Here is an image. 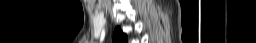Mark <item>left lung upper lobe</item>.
Returning a JSON list of instances; mask_svg holds the SVG:
<instances>
[{
    "label": "left lung upper lobe",
    "mask_w": 256,
    "mask_h": 43,
    "mask_svg": "<svg viewBox=\"0 0 256 43\" xmlns=\"http://www.w3.org/2000/svg\"><path fill=\"white\" fill-rule=\"evenodd\" d=\"M113 43H127V36L117 27L113 35Z\"/></svg>",
    "instance_id": "obj_1"
}]
</instances>
